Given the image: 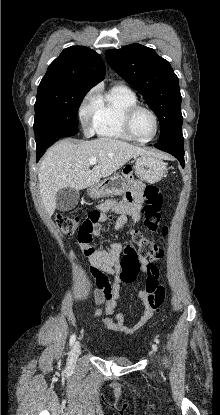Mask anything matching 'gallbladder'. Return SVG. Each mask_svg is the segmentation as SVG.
<instances>
[{
    "mask_svg": "<svg viewBox=\"0 0 220 415\" xmlns=\"http://www.w3.org/2000/svg\"><path fill=\"white\" fill-rule=\"evenodd\" d=\"M79 197V191L73 188H63L56 194V208L60 211H69L78 204Z\"/></svg>",
    "mask_w": 220,
    "mask_h": 415,
    "instance_id": "obj_1",
    "label": "gallbladder"
}]
</instances>
